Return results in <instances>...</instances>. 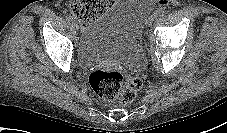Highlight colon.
Wrapping results in <instances>:
<instances>
[{"instance_id":"1","label":"colon","mask_w":227,"mask_h":133,"mask_svg":"<svg viewBox=\"0 0 227 133\" xmlns=\"http://www.w3.org/2000/svg\"><path fill=\"white\" fill-rule=\"evenodd\" d=\"M112 3L113 0H71L70 10L83 25H88ZM160 3L165 5L167 0ZM89 83L100 98L120 104L132 102L142 87L139 77L125 80L120 72L104 70L93 71L89 75Z\"/></svg>"}]
</instances>
